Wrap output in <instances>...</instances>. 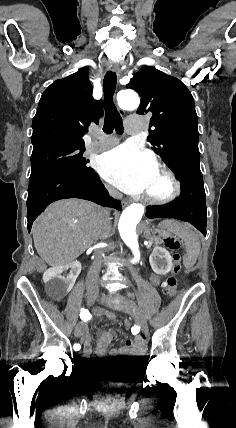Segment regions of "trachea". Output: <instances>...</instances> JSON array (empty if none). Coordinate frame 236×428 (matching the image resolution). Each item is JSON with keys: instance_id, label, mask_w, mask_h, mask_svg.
Returning <instances> with one entry per match:
<instances>
[{"instance_id": "1", "label": "trachea", "mask_w": 236, "mask_h": 428, "mask_svg": "<svg viewBox=\"0 0 236 428\" xmlns=\"http://www.w3.org/2000/svg\"><path fill=\"white\" fill-rule=\"evenodd\" d=\"M116 84V73L113 71L107 72L103 80L104 108L106 115L103 131L108 135L113 132L114 128L117 133H123V121L113 102V95L116 90Z\"/></svg>"}]
</instances>
